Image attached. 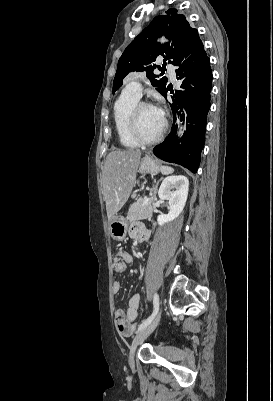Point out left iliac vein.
I'll return each instance as SVG.
<instances>
[{
  "mask_svg": "<svg viewBox=\"0 0 273 401\" xmlns=\"http://www.w3.org/2000/svg\"><path fill=\"white\" fill-rule=\"evenodd\" d=\"M161 314H162V307L159 309L158 313L154 317V319L143 329H141L134 337L133 343L130 347V353H129V358L128 362L132 370H134V353L136 350V346L139 343H142L157 327V325L160 322L161 319Z\"/></svg>",
  "mask_w": 273,
  "mask_h": 401,
  "instance_id": "obj_1",
  "label": "left iliac vein"
}]
</instances>
